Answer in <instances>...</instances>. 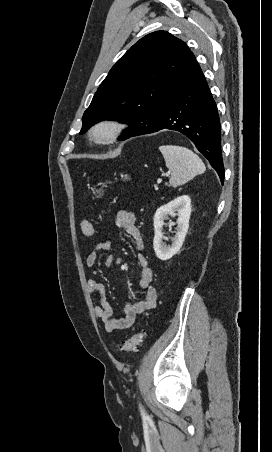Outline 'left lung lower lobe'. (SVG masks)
<instances>
[{"mask_svg": "<svg viewBox=\"0 0 272 452\" xmlns=\"http://www.w3.org/2000/svg\"><path fill=\"white\" fill-rule=\"evenodd\" d=\"M162 129L185 134L209 160L224 182L221 127L218 110L196 59L166 101L158 121L145 129L121 137L153 133Z\"/></svg>", "mask_w": 272, "mask_h": 452, "instance_id": "0a47b994", "label": "left lung lower lobe"}]
</instances>
